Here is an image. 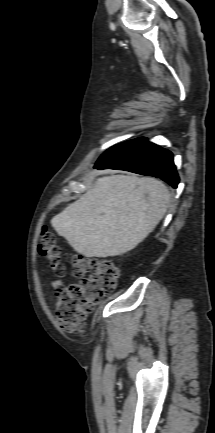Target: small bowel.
Wrapping results in <instances>:
<instances>
[{"instance_id": "obj_1", "label": "small bowel", "mask_w": 215, "mask_h": 433, "mask_svg": "<svg viewBox=\"0 0 215 433\" xmlns=\"http://www.w3.org/2000/svg\"><path fill=\"white\" fill-rule=\"evenodd\" d=\"M53 285H54V287H56V288H57V287H59L60 283H59V282H54V284H53Z\"/></svg>"}]
</instances>
